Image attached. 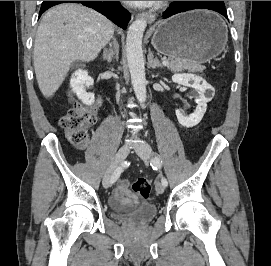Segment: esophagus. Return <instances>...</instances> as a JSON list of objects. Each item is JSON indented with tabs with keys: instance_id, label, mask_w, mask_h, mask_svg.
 Wrapping results in <instances>:
<instances>
[{
	"instance_id": "obj_1",
	"label": "esophagus",
	"mask_w": 271,
	"mask_h": 266,
	"mask_svg": "<svg viewBox=\"0 0 271 266\" xmlns=\"http://www.w3.org/2000/svg\"><path fill=\"white\" fill-rule=\"evenodd\" d=\"M155 13L152 12H141L137 14V18H145L149 23H152L155 20Z\"/></svg>"
}]
</instances>
